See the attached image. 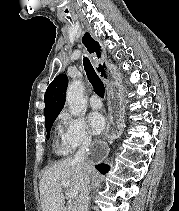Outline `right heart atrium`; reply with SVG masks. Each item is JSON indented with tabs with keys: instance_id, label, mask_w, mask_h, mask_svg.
I'll return each instance as SVG.
<instances>
[{
	"instance_id": "obj_1",
	"label": "right heart atrium",
	"mask_w": 179,
	"mask_h": 211,
	"mask_svg": "<svg viewBox=\"0 0 179 211\" xmlns=\"http://www.w3.org/2000/svg\"><path fill=\"white\" fill-rule=\"evenodd\" d=\"M59 120L61 143L68 152L91 143V132L83 119L64 111L61 113Z\"/></svg>"
}]
</instances>
